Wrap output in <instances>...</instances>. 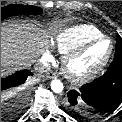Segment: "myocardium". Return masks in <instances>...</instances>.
Returning a JSON list of instances; mask_svg holds the SVG:
<instances>
[{
  "label": "myocardium",
  "instance_id": "obj_1",
  "mask_svg": "<svg viewBox=\"0 0 122 122\" xmlns=\"http://www.w3.org/2000/svg\"><path fill=\"white\" fill-rule=\"evenodd\" d=\"M102 41H107L109 43V50L104 59L98 65H96L94 68H92L86 73H73L70 68L72 61L83 55L89 48ZM113 50L114 44L109 37L103 35L98 38L91 39L64 55L62 60L63 73L68 80L75 84H83L89 82L94 79L107 66L112 57Z\"/></svg>",
  "mask_w": 122,
  "mask_h": 122
}]
</instances>
